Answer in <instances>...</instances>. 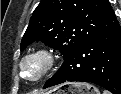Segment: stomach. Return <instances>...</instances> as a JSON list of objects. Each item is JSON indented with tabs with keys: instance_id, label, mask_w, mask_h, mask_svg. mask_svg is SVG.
Listing matches in <instances>:
<instances>
[{
	"instance_id": "stomach-1",
	"label": "stomach",
	"mask_w": 121,
	"mask_h": 94,
	"mask_svg": "<svg viewBox=\"0 0 121 94\" xmlns=\"http://www.w3.org/2000/svg\"><path fill=\"white\" fill-rule=\"evenodd\" d=\"M46 94H100L98 89L87 83H65Z\"/></svg>"
}]
</instances>
